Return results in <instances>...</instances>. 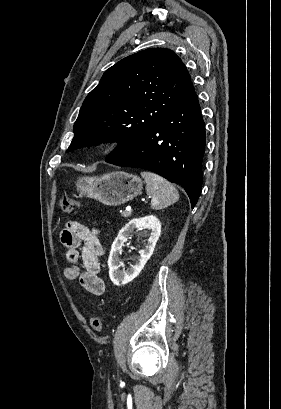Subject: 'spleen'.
I'll use <instances>...</instances> for the list:
<instances>
[{
    "label": "spleen",
    "mask_w": 281,
    "mask_h": 409,
    "mask_svg": "<svg viewBox=\"0 0 281 409\" xmlns=\"http://www.w3.org/2000/svg\"><path fill=\"white\" fill-rule=\"evenodd\" d=\"M146 182V192L151 196L152 209H166L179 200V192L171 182L154 172H140Z\"/></svg>",
    "instance_id": "3e777b00"
}]
</instances>
